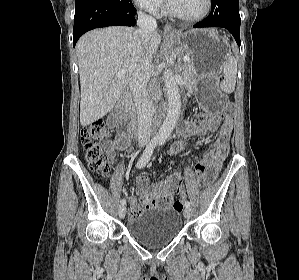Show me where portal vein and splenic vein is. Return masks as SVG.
<instances>
[{
    "label": "portal vein and splenic vein",
    "mask_w": 299,
    "mask_h": 280,
    "mask_svg": "<svg viewBox=\"0 0 299 280\" xmlns=\"http://www.w3.org/2000/svg\"><path fill=\"white\" fill-rule=\"evenodd\" d=\"M189 60H190L189 57H183V61H184V62H187V61H189ZM125 73H126L125 70H120V71L117 73V75H122V74H125Z\"/></svg>",
    "instance_id": "obj_1"
}]
</instances>
